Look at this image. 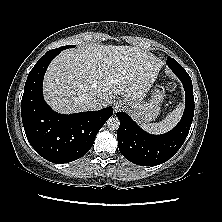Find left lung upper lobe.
<instances>
[{"label":"left lung upper lobe","mask_w":222,"mask_h":222,"mask_svg":"<svg viewBox=\"0 0 222 222\" xmlns=\"http://www.w3.org/2000/svg\"><path fill=\"white\" fill-rule=\"evenodd\" d=\"M173 63H177V61L171 57H168L167 58V65L169 66L170 64H173Z\"/></svg>","instance_id":"obj_1"}]
</instances>
